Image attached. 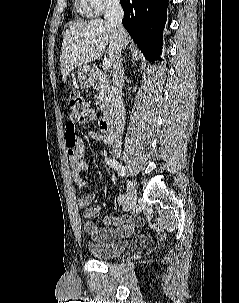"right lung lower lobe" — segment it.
Instances as JSON below:
<instances>
[{
  "mask_svg": "<svg viewBox=\"0 0 239 303\" xmlns=\"http://www.w3.org/2000/svg\"><path fill=\"white\" fill-rule=\"evenodd\" d=\"M122 23L147 59L160 60L168 0H120Z\"/></svg>",
  "mask_w": 239,
  "mask_h": 303,
  "instance_id": "right-lung-lower-lobe-1",
  "label": "right lung lower lobe"
}]
</instances>
